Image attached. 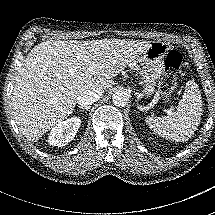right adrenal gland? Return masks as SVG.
<instances>
[{
  "mask_svg": "<svg viewBox=\"0 0 215 215\" xmlns=\"http://www.w3.org/2000/svg\"><path fill=\"white\" fill-rule=\"evenodd\" d=\"M80 109H84L85 110V113L87 114V111L91 108L90 106H87V107H81L79 106Z\"/></svg>",
  "mask_w": 215,
  "mask_h": 215,
  "instance_id": "1",
  "label": "right adrenal gland"
}]
</instances>
